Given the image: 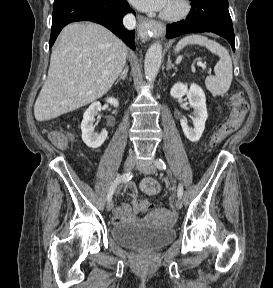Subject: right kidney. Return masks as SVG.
I'll return each mask as SVG.
<instances>
[{
    "label": "right kidney",
    "instance_id": "obj_1",
    "mask_svg": "<svg viewBox=\"0 0 273 288\" xmlns=\"http://www.w3.org/2000/svg\"><path fill=\"white\" fill-rule=\"evenodd\" d=\"M106 102L113 105L114 107H118L119 105L118 100L112 97L108 98ZM99 111H101V103H92L85 111L83 115V120L81 122L82 139L88 147L93 149L99 148L105 142L108 136V132L106 129L102 130L101 133H96L94 131V117Z\"/></svg>",
    "mask_w": 273,
    "mask_h": 288
}]
</instances>
